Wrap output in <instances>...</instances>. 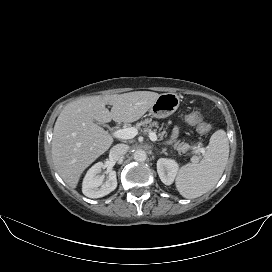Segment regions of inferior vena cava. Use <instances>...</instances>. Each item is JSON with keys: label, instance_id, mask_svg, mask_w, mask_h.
I'll return each mask as SVG.
<instances>
[{"label": "inferior vena cava", "instance_id": "602c4592", "mask_svg": "<svg viewBox=\"0 0 272 272\" xmlns=\"http://www.w3.org/2000/svg\"><path fill=\"white\" fill-rule=\"evenodd\" d=\"M129 147L125 144H117L113 146L110 150L109 158L112 161H118L124 157L127 153Z\"/></svg>", "mask_w": 272, "mask_h": 272}]
</instances>
